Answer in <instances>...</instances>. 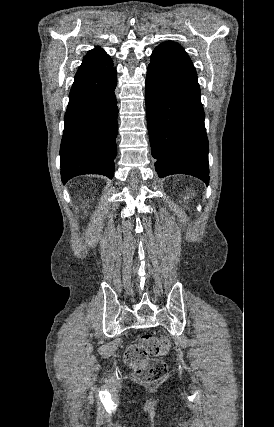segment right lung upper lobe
I'll list each match as a JSON object with an SVG mask.
<instances>
[{"instance_id": "1", "label": "right lung upper lobe", "mask_w": 274, "mask_h": 427, "mask_svg": "<svg viewBox=\"0 0 274 427\" xmlns=\"http://www.w3.org/2000/svg\"><path fill=\"white\" fill-rule=\"evenodd\" d=\"M112 60L101 48H95L84 57L78 72L99 69L102 66L111 64Z\"/></svg>"}]
</instances>
